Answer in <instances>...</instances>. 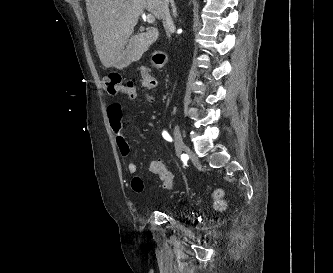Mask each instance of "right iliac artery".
I'll list each match as a JSON object with an SVG mask.
<instances>
[{
	"label": "right iliac artery",
	"mask_w": 333,
	"mask_h": 273,
	"mask_svg": "<svg viewBox=\"0 0 333 273\" xmlns=\"http://www.w3.org/2000/svg\"><path fill=\"white\" fill-rule=\"evenodd\" d=\"M162 136H163V138H164L165 140H167V141H169V142L172 141V138H171V136L169 135V133H168L167 131H163V132H162Z\"/></svg>",
	"instance_id": "82829eb1"
}]
</instances>
